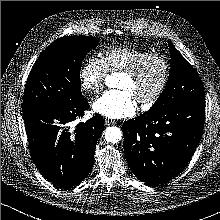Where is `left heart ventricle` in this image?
I'll use <instances>...</instances> for the list:
<instances>
[{
	"label": "left heart ventricle",
	"mask_w": 220,
	"mask_h": 220,
	"mask_svg": "<svg viewBox=\"0 0 220 220\" xmlns=\"http://www.w3.org/2000/svg\"><path fill=\"white\" fill-rule=\"evenodd\" d=\"M162 74L163 68L161 63L153 60L135 78L122 74L118 82V87L129 90L138 101L142 97L149 96L157 88Z\"/></svg>",
	"instance_id": "1"
}]
</instances>
